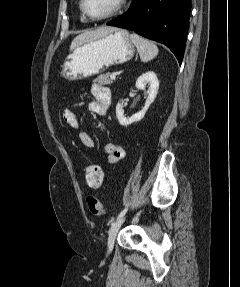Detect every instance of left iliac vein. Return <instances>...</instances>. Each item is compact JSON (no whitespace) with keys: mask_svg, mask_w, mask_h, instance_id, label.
<instances>
[{"mask_svg":"<svg viewBox=\"0 0 240 287\" xmlns=\"http://www.w3.org/2000/svg\"><path fill=\"white\" fill-rule=\"evenodd\" d=\"M124 220H125L124 217L117 219L109 229L108 244H107L109 251H111L113 249L114 241H115L117 232H118L119 228L121 227V225L123 224Z\"/></svg>","mask_w":240,"mask_h":287,"instance_id":"left-iliac-vein-1","label":"left iliac vein"}]
</instances>
